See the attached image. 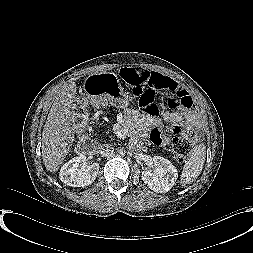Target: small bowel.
<instances>
[{"instance_id":"c3829d8e","label":"small bowel","mask_w":253,"mask_h":253,"mask_svg":"<svg viewBox=\"0 0 253 253\" xmlns=\"http://www.w3.org/2000/svg\"><path fill=\"white\" fill-rule=\"evenodd\" d=\"M156 74L167 80L172 87L180 89L178 83L174 79L160 73ZM124 118L132 126L136 133L149 136L154 144L166 145L170 142V139L166 137L161 131V119L140 114L135 110L125 112ZM162 119L163 121L172 125L173 131L176 134L183 132V127L180 125L182 121L186 122L187 130H192L191 128L198 124V115L191 109L167 111L163 114Z\"/></svg>"}]
</instances>
